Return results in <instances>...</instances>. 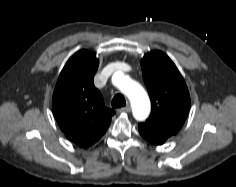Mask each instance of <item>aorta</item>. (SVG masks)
<instances>
[{
    "label": "aorta",
    "mask_w": 236,
    "mask_h": 187,
    "mask_svg": "<svg viewBox=\"0 0 236 187\" xmlns=\"http://www.w3.org/2000/svg\"><path fill=\"white\" fill-rule=\"evenodd\" d=\"M112 82L130 100L134 117L137 120H144L150 112V101L144 88L121 73L114 74Z\"/></svg>",
    "instance_id": "obj_1"
}]
</instances>
